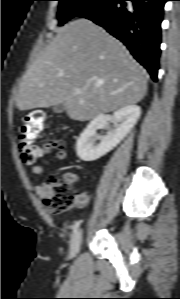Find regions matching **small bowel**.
<instances>
[{
  "label": "small bowel",
  "mask_w": 180,
  "mask_h": 299,
  "mask_svg": "<svg viewBox=\"0 0 180 299\" xmlns=\"http://www.w3.org/2000/svg\"><path fill=\"white\" fill-rule=\"evenodd\" d=\"M43 156H46V154H44ZM66 158V152L63 150H60L57 152V154L55 155V160L56 161H63ZM32 173L35 175H40L44 168L41 165H35L32 167ZM64 180H66L68 183L73 184L76 182L77 177L74 173H65L64 174ZM48 192V186L47 185H38L36 186V193L42 198L44 199V197L47 195ZM88 195L85 193H78L77 197H76V206L81 208L84 207L87 202H88Z\"/></svg>",
  "instance_id": "1"
}]
</instances>
